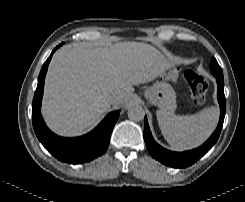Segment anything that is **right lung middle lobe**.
<instances>
[{"label":"right lung middle lobe","mask_w":245,"mask_h":202,"mask_svg":"<svg viewBox=\"0 0 245 202\" xmlns=\"http://www.w3.org/2000/svg\"><path fill=\"white\" fill-rule=\"evenodd\" d=\"M62 44H63V43H61L59 46H57V48L60 47V46H62Z\"/></svg>","instance_id":"dd1d6c3e"}]
</instances>
